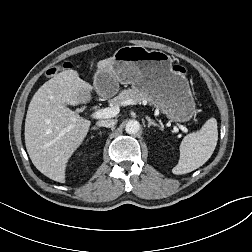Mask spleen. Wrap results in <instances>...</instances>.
<instances>
[{
	"label": "spleen",
	"mask_w": 252,
	"mask_h": 252,
	"mask_svg": "<svg viewBox=\"0 0 252 252\" xmlns=\"http://www.w3.org/2000/svg\"><path fill=\"white\" fill-rule=\"evenodd\" d=\"M218 141L217 120L208 119L201 130L186 135L180 144V158L172 172L176 175L192 172L205 164Z\"/></svg>",
	"instance_id": "3e777b00"
}]
</instances>
